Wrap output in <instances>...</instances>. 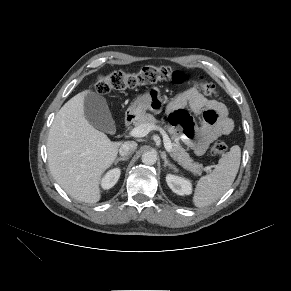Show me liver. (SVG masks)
Wrapping results in <instances>:
<instances>
[{
	"mask_svg": "<svg viewBox=\"0 0 291 291\" xmlns=\"http://www.w3.org/2000/svg\"><path fill=\"white\" fill-rule=\"evenodd\" d=\"M89 90L72 97L58 111L51 125L47 154L52 176L79 202L101 199L102 174L115 161L122 142L111 141L85 118L84 98Z\"/></svg>",
	"mask_w": 291,
	"mask_h": 291,
	"instance_id": "6515ba94",
	"label": "liver"
}]
</instances>
